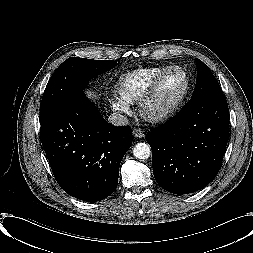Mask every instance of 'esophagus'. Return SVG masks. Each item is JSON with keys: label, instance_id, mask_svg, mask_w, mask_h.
<instances>
[{"label": "esophagus", "instance_id": "34e87169", "mask_svg": "<svg viewBox=\"0 0 253 253\" xmlns=\"http://www.w3.org/2000/svg\"><path fill=\"white\" fill-rule=\"evenodd\" d=\"M133 136L138 139V138H143L145 136V133L143 130L135 128L133 130Z\"/></svg>", "mask_w": 253, "mask_h": 253}]
</instances>
